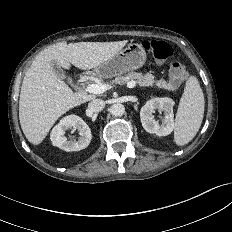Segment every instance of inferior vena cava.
Segmentation results:
<instances>
[{
    "instance_id": "obj_1",
    "label": "inferior vena cava",
    "mask_w": 232,
    "mask_h": 232,
    "mask_svg": "<svg viewBox=\"0 0 232 232\" xmlns=\"http://www.w3.org/2000/svg\"><path fill=\"white\" fill-rule=\"evenodd\" d=\"M105 107V101L102 99H93L89 104L88 108L92 112H100Z\"/></svg>"
}]
</instances>
